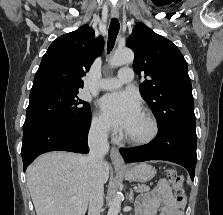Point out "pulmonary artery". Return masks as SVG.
I'll return each instance as SVG.
<instances>
[{"mask_svg":"<svg viewBox=\"0 0 223 215\" xmlns=\"http://www.w3.org/2000/svg\"><path fill=\"white\" fill-rule=\"evenodd\" d=\"M133 78L132 69H119L115 76L101 79L97 86L101 90L117 89L123 84L131 82Z\"/></svg>","mask_w":223,"mask_h":215,"instance_id":"e3ab8cb5","label":"pulmonary artery"}]
</instances>
